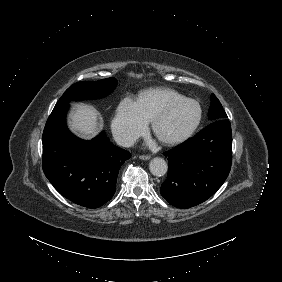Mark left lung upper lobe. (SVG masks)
I'll return each mask as SVG.
<instances>
[{"label":"left lung upper lobe","mask_w":282,"mask_h":282,"mask_svg":"<svg viewBox=\"0 0 282 282\" xmlns=\"http://www.w3.org/2000/svg\"><path fill=\"white\" fill-rule=\"evenodd\" d=\"M208 114H209V119L212 121L227 118V115L221 103L219 102V100L216 98L214 94L211 95V105Z\"/></svg>","instance_id":"obj_1"}]
</instances>
